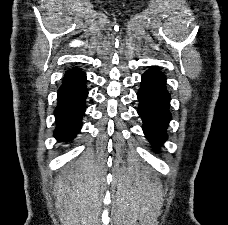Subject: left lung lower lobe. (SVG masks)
<instances>
[{"mask_svg":"<svg viewBox=\"0 0 228 225\" xmlns=\"http://www.w3.org/2000/svg\"><path fill=\"white\" fill-rule=\"evenodd\" d=\"M166 78L157 68H151L142 76L138 114L143 120V132L155 146L167 139L166 129L171 119L170 95L166 89Z\"/></svg>","mask_w":228,"mask_h":225,"instance_id":"0a47b994","label":"left lung lower lobe"}]
</instances>
